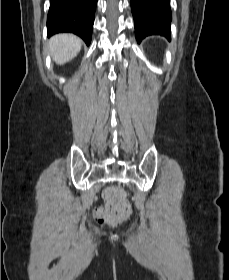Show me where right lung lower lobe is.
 Wrapping results in <instances>:
<instances>
[{
	"label": "right lung lower lobe",
	"mask_w": 229,
	"mask_h": 280,
	"mask_svg": "<svg viewBox=\"0 0 229 280\" xmlns=\"http://www.w3.org/2000/svg\"><path fill=\"white\" fill-rule=\"evenodd\" d=\"M97 0H50L47 34L70 32L91 42Z\"/></svg>",
	"instance_id": "right-lung-lower-lobe-1"
}]
</instances>
